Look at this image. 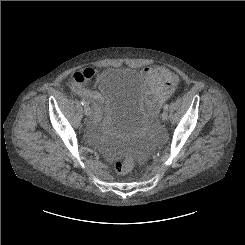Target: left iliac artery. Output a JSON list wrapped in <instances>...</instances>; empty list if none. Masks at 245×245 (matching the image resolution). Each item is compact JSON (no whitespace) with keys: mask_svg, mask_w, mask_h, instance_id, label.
<instances>
[{"mask_svg":"<svg viewBox=\"0 0 245 245\" xmlns=\"http://www.w3.org/2000/svg\"><path fill=\"white\" fill-rule=\"evenodd\" d=\"M168 107H169V105H168V104H165V105H164V109H165V110H167V109H168Z\"/></svg>","mask_w":245,"mask_h":245,"instance_id":"obj_1","label":"left iliac artery"}]
</instances>
